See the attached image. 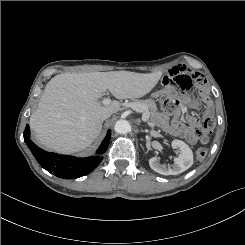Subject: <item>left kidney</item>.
<instances>
[{"label": "left kidney", "mask_w": 245, "mask_h": 245, "mask_svg": "<svg viewBox=\"0 0 245 245\" xmlns=\"http://www.w3.org/2000/svg\"><path fill=\"white\" fill-rule=\"evenodd\" d=\"M171 145L173 148L180 150L178 158H174L172 167L162 165L157 157H153L149 160L152 170L162 175H177L193 165V152L184 141L174 139Z\"/></svg>", "instance_id": "obj_1"}]
</instances>
